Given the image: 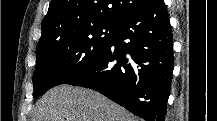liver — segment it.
<instances>
[{
  "label": "liver",
  "mask_w": 217,
  "mask_h": 121,
  "mask_svg": "<svg viewBox=\"0 0 217 121\" xmlns=\"http://www.w3.org/2000/svg\"><path fill=\"white\" fill-rule=\"evenodd\" d=\"M33 121H137L126 109L100 93L60 85L36 103Z\"/></svg>",
  "instance_id": "6515ba94"
}]
</instances>
